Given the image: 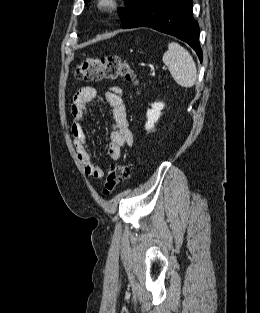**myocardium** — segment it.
I'll return each instance as SVG.
<instances>
[{"instance_id": "f54148a6", "label": "myocardium", "mask_w": 260, "mask_h": 313, "mask_svg": "<svg viewBox=\"0 0 260 313\" xmlns=\"http://www.w3.org/2000/svg\"><path fill=\"white\" fill-rule=\"evenodd\" d=\"M119 5V0H98V7L104 12L114 11Z\"/></svg>"}]
</instances>
